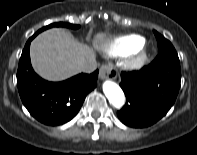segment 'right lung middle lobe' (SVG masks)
<instances>
[{
    "label": "right lung middle lobe",
    "instance_id": "dd1d6c3e",
    "mask_svg": "<svg viewBox=\"0 0 197 155\" xmlns=\"http://www.w3.org/2000/svg\"><path fill=\"white\" fill-rule=\"evenodd\" d=\"M51 27H67V28H72V29H77L79 28V25H74V24H69V23H63V22H59V23H52L50 25H47L45 27H43L42 29L38 30L34 35L39 34L40 32L51 28Z\"/></svg>",
    "mask_w": 197,
    "mask_h": 155
}]
</instances>
